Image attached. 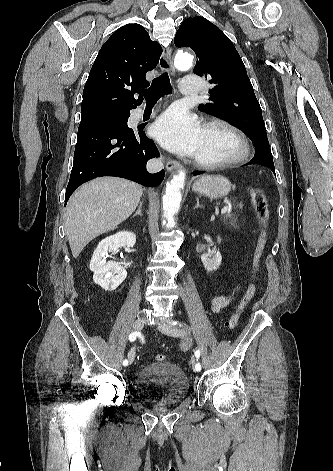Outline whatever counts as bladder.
<instances>
[{
    "instance_id": "obj_1",
    "label": "bladder",
    "mask_w": 333,
    "mask_h": 471,
    "mask_svg": "<svg viewBox=\"0 0 333 471\" xmlns=\"http://www.w3.org/2000/svg\"><path fill=\"white\" fill-rule=\"evenodd\" d=\"M189 379L170 361L151 362L143 366L134 380L135 395L150 405H175L188 394Z\"/></svg>"
}]
</instances>
